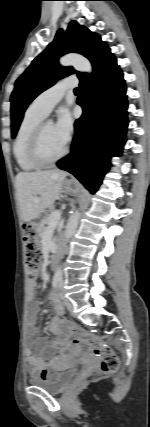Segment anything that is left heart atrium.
<instances>
[{
  "instance_id": "obj_1",
  "label": "left heart atrium",
  "mask_w": 150,
  "mask_h": 427,
  "mask_svg": "<svg viewBox=\"0 0 150 427\" xmlns=\"http://www.w3.org/2000/svg\"><path fill=\"white\" fill-rule=\"evenodd\" d=\"M54 127L60 140L66 145L73 133V121L70 114L67 111H63Z\"/></svg>"
}]
</instances>
